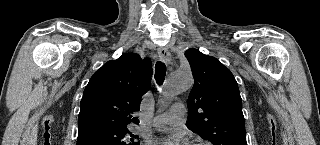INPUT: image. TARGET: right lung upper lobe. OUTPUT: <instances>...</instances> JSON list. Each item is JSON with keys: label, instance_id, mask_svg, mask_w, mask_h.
Wrapping results in <instances>:
<instances>
[{"label": "right lung upper lobe", "instance_id": "obj_1", "mask_svg": "<svg viewBox=\"0 0 320 145\" xmlns=\"http://www.w3.org/2000/svg\"><path fill=\"white\" fill-rule=\"evenodd\" d=\"M149 59L126 53L105 63L90 79L80 102L78 136L100 129L127 128L139 123L141 97L151 83Z\"/></svg>", "mask_w": 320, "mask_h": 145}]
</instances>
